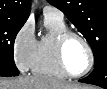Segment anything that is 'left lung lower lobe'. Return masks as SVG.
<instances>
[{
  "label": "left lung lower lobe",
  "instance_id": "1",
  "mask_svg": "<svg viewBox=\"0 0 107 89\" xmlns=\"http://www.w3.org/2000/svg\"><path fill=\"white\" fill-rule=\"evenodd\" d=\"M79 82L93 84L107 89V57L94 65L93 72L86 78L80 79Z\"/></svg>",
  "mask_w": 107,
  "mask_h": 89
}]
</instances>
